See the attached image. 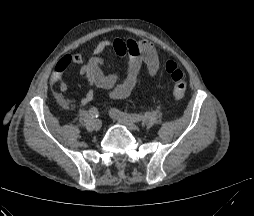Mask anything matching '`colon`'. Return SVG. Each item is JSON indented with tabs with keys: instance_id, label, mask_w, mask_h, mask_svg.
<instances>
[{
	"instance_id": "colon-1",
	"label": "colon",
	"mask_w": 254,
	"mask_h": 216,
	"mask_svg": "<svg viewBox=\"0 0 254 216\" xmlns=\"http://www.w3.org/2000/svg\"><path fill=\"white\" fill-rule=\"evenodd\" d=\"M164 68L169 74L172 83V96L175 101L180 102L186 94V81L183 72L179 69L174 61L168 60L164 63Z\"/></svg>"
}]
</instances>
